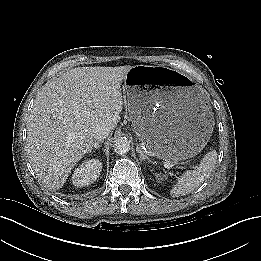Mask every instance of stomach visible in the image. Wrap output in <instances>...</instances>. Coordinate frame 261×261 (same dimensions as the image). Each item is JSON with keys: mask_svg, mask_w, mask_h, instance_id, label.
Here are the masks:
<instances>
[{"mask_svg": "<svg viewBox=\"0 0 261 261\" xmlns=\"http://www.w3.org/2000/svg\"><path fill=\"white\" fill-rule=\"evenodd\" d=\"M152 74L170 79L143 89ZM124 84L136 133L153 156L179 161L204 148L212 133L210 107L190 79L167 68L137 65Z\"/></svg>", "mask_w": 261, "mask_h": 261, "instance_id": "1", "label": "stomach"}]
</instances>
